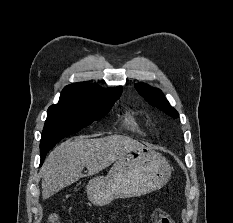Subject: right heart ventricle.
Segmentation results:
<instances>
[{"label":"right heart ventricle","mask_w":233,"mask_h":223,"mask_svg":"<svg viewBox=\"0 0 233 223\" xmlns=\"http://www.w3.org/2000/svg\"><path fill=\"white\" fill-rule=\"evenodd\" d=\"M122 125L137 134L145 135L146 131L132 112H127L123 116Z\"/></svg>","instance_id":"1"}]
</instances>
